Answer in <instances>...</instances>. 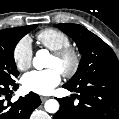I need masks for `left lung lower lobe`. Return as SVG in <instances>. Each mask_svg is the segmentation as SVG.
I'll use <instances>...</instances> for the list:
<instances>
[{
  "instance_id": "0a47b994",
  "label": "left lung lower lobe",
  "mask_w": 119,
  "mask_h": 119,
  "mask_svg": "<svg viewBox=\"0 0 119 119\" xmlns=\"http://www.w3.org/2000/svg\"><path fill=\"white\" fill-rule=\"evenodd\" d=\"M75 91L79 103L69 97L58 99L59 111L53 119H119V77H101L77 86L63 85Z\"/></svg>"
}]
</instances>
